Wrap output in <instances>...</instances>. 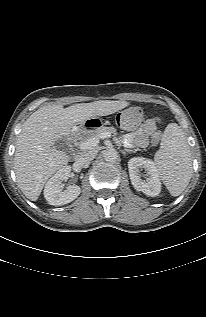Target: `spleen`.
<instances>
[{
  "instance_id": "3e777b00",
  "label": "spleen",
  "mask_w": 206,
  "mask_h": 317,
  "mask_svg": "<svg viewBox=\"0 0 206 317\" xmlns=\"http://www.w3.org/2000/svg\"><path fill=\"white\" fill-rule=\"evenodd\" d=\"M154 160L157 172L170 194L179 196L188 186L193 171L190 147L178 124L167 125Z\"/></svg>"
}]
</instances>
